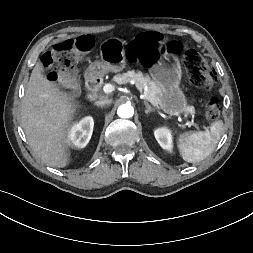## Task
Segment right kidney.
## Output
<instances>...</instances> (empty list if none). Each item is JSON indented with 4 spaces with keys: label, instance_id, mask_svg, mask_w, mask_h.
Listing matches in <instances>:
<instances>
[{
    "label": "right kidney",
    "instance_id": "1",
    "mask_svg": "<svg viewBox=\"0 0 253 253\" xmlns=\"http://www.w3.org/2000/svg\"><path fill=\"white\" fill-rule=\"evenodd\" d=\"M93 128L94 121L91 116L81 119L70 129L67 136L68 145L76 148H84L90 141Z\"/></svg>",
    "mask_w": 253,
    "mask_h": 253
}]
</instances>
